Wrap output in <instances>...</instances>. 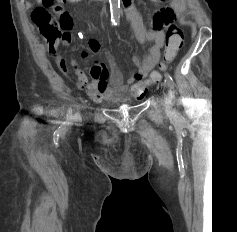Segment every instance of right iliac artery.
Here are the masks:
<instances>
[{
    "mask_svg": "<svg viewBox=\"0 0 237 232\" xmlns=\"http://www.w3.org/2000/svg\"><path fill=\"white\" fill-rule=\"evenodd\" d=\"M67 119H72V113H71L70 109H69L68 114H67Z\"/></svg>",
    "mask_w": 237,
    "mask_h": 232,
    "instance_id": "82829eb1",
    "label": "right iliac artery"
}]
</instances>
